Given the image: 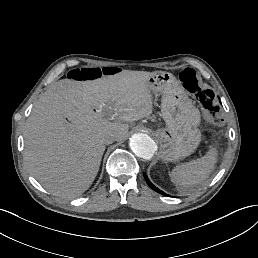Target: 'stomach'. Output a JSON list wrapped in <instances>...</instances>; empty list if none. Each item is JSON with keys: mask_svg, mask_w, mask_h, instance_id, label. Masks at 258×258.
I'll list each match as a JSON object with an SVG mask.
<instances>
[{"mask_svg": "<svg viewBox=\"0 0 258 258\" xmlns=\"http://www.w3.org/2000/svg\"><path fill=\"white\" fill-rule=\"evenodd\" d=\"M148 89L162 96L161 114L166 127L156 131L161 160L176 162L191 155L201 142L199 109L169 72H155L148 80Z\"/></svg>", "mask_w": 258, "mask_h": 258, "instance_id": "0dacf381", "label": "stomach"}]
</instances>
